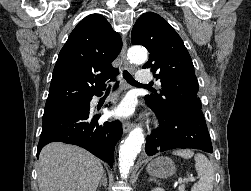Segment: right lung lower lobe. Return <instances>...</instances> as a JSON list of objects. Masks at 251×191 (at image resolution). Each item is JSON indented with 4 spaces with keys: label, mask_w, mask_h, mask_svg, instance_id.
Wrapping results in <instances>:
<instances>
[{
    "label": "right lung lower lobe",
    "mask_w": 251,
    "mask_h": 191,
    "mask_svg": "<svg viewBox=\"0 0 251 191\" xmlns=\"http://www.w3.org/2000/svg\"><path fill=\"white\" fill-rule=\"evenodd\" d=\"M102 92L95 95L100 96ZM92 98L88 99V104ZM100 115L88 110H77L43 120L42 133L37 147V158L41 149L50 142H64L78 145L112 168L113 153L117 141L122 136L119 121L98 124Z\"/></svg>",
    "instance_id": "right-lung-lower-lobe-1"
}]
</instances>
